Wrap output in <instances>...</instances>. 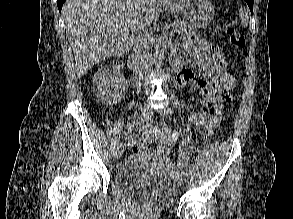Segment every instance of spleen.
<instances>
[{
	"label": "spleen",
	"instance_id": "spleen-1",
	"mask_svg": "<svg viewBox=\"0 0 293 219\" xmlns=\"http://www.w3.org/2000/svg\"><path fill=\"white\" fill-rule=\"evenodd\" d=\"M239 17H240L241 25L243 27H247L248 23H249V17H248V14H247L245 8H243V7L240 8Z\"/></svg>",
	"mask_w": 293,
	"mask_h": 219
}]
</instances>
